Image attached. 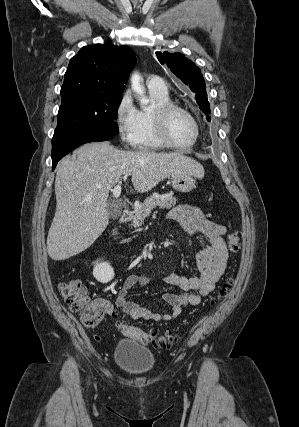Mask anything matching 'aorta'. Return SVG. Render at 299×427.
Segmentation results:
<instances>
[{
  "label": "aorta",
  "mask_w": 299,
  "mask_h": 427,
  "mask_svg": "<svg viewBox=\"0 0 299 427\" xmlns=\"http://www.w3.org/2000/svg\"><path fill=\"white\" fill-rule=\"evenodd\" d=\"M142 77L139 73L135 72L133 73L131 77V86L132 90L139 96L140 104L141 105H148L149 100L145 97V88L142 85Z\"/></svg>",
  "instance_id": "762f6f07"
}]
</instances>
